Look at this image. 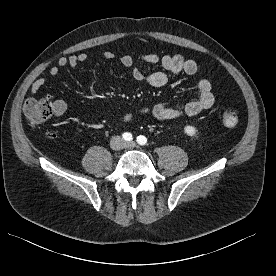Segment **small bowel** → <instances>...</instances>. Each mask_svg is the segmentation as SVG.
<instances>
[{
	"instance_id": "c3829d8e",
	"label": "small bowel",
	"mask_w": 276,
	"mask_h": 276,
	"mask_svg": "<svg viewBox=\"0 0 276 276\" xmlns=\"http://www.w3.org/2000/svg\"><path fill=\"white\" fill-rule=\"evenodd\" d=\"M105 60H113L115 58L114 52L107 50L103 53ZM139 61L157 64L159 63L164 71H154L150 74H144L137 68H133L132 77L138 82H145L152 87H162L168 82V74H186L188 76H195L198 72V65L192 59H186L181 55H164L159 56L155 53L143 54L138 58ZM88 61V55L86 53L72 54L69 56H62L57 60V65L50 67L49 74L53 77L58 76L60 69L66 66L72 68L78 67ZM136 59L131 55H123L120 57V63L124 67H133ZM45 85L44 78H38L31 86V94L36 95L40 92ZM195 85L197 89V98L188 102L183 107H169L163 104H155L150 108H144L140 110V114H152L155 118L164 121L176 120L184 115L194 116L201 111L211 107L214 103V94L212 92V86L207 79H196ZM54 111L57 115H60L66 111L67 105L63 100L54 101ZM133 117L132 113H126L123 115L122 120L124 122L130 121Z\"/></svg>"
}]
</instances>
